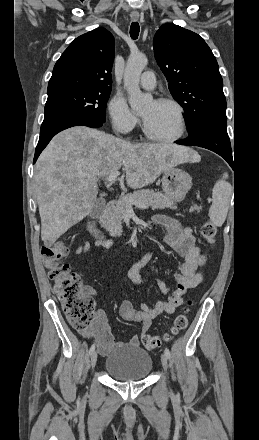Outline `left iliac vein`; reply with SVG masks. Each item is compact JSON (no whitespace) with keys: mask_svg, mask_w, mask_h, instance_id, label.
<instances>
[{"mask_svg":"<svg viewBox=\"0 0 259 440\" xmlns=\"http://www.w3.org/2000/svg\"><path fill=\"white\" fill-rule=\"evenodd\" d=\"M161 363H162L163 368H164L165 370H167V368H168V357L166 356L165 353H163V354L161 355Z\"/></svg>","mask_w":259,"mask_h":440,"instance_id":"left-iliac-vein-1","label":"left iliac vein"}]
</instances>
